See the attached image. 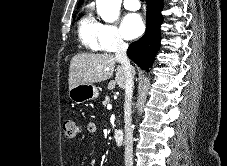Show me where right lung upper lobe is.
I'll return each instance as SVG.
<instances>
[{"mask_svg":"<svg viewBox=\"0 0 227 166\" xmlns=\"http://www.w3.org/2000/svg\"><path fill=\"white\" fill-rule=\"evenodd\" d=\"M84 0H79V4L78 5H82Z\"/></svg>","mask_w":227,"mask_h":166,"instance_id":"obj_1","label":"right lung upper lobe"}]
</instances>
